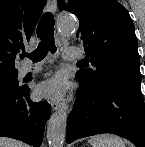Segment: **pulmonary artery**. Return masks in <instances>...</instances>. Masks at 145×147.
Here are the masks:
<instances>
[{"instance_id":"1","label":"pulmonary artery","mask_w":145,"mask_h":147,"mask_svg":"<svg viewBox=\"0 0 145 147\" xmlns=\"http://www.w3.org/2000/svg\"><path fill=\"white\" fill-rule=\"evenodd\" d=\"M84 56V53L82 50L77 48H69L65 50L64 58L66 60L72 61V60H78L81 59ZM42 71L41 66H35L31 67L28 65V60L25 61L24 66L20 69V76L24 77L28 74H38Z\"/></svg>"}]
</instances>
